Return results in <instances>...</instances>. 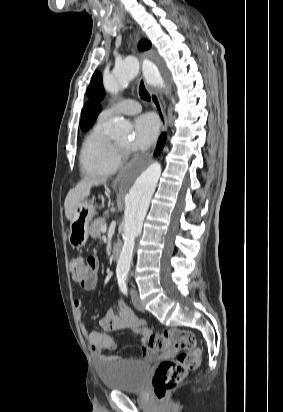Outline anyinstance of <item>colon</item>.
Masks as SVG:
<instances>
[{
    "label": "colon",
    "instance_id": "colon-1",
    "mask_svg": "<svg viewBox=\"0 0 283 412\" xmlns=\"http://www.w3.org/2000/svg\"><path fill=\"white\" fill-rule=\"evenodd\" d=\"M97 268L98 261L95 256H90L87 260L76 257L69 263L72 278L78 282L94 273ZM148 346L155 351H163L170 347L181 349L176 358L163 361L154 373L152 387L157 399L163 400L190 370L200 365L201 351L197 347L193 332L176 328L152 334L148 339Z\"/></svg>",
    "mask_w": 283,
    "mask_h": 412
}]
</instances>
